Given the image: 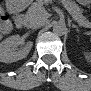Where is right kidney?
<instances>
[{
	"label": "right kidney",
	"mask_w": 91,
	"mask_h": 91,
	"mask_svg": "<svg viewBox=\"0 0 91 91\" xmlns=\"http://www.w3.org/2000/svg\"><path fill=\"white\" fill-rule=\"evenodd\" d=\"M19 44V35H13L2 41L0 43V61L3 63H12L25 58L30 52L33 42L28 41L21 50L16 49Z\"/></svg>",
	"instance_id": "obj_1"
}]
</instances>
